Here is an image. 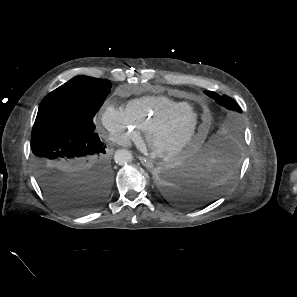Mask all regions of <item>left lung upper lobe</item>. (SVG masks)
I'll use <instances>...</instances> for the list:
<instances>
[{"label":"left lung upper lobe","instance_id":"obj_1","mask_svg":"<svg viewBox=\"0 0 297 297\" xmlns=\"http://www.w3.org/2000/svg\"><path fill=\"white\" fill-rule=\"evenodd\" d=\"M205 94L227 109L219 128H217L215 138L227 146L236 145L241 138V125L238 114L242 113L240 106L226 95L220 96L212 91H205Z\"/></svg>","mask_w":297,"mask_h":297}]
</instances>
